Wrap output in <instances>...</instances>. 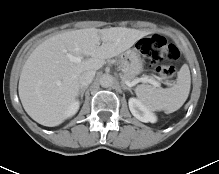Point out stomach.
Returning <instances> with one entry per match:
<instances>
[{
  "label": "stomach",
  "instance_id": "stomach-1",
  "mask_svg": "<svg viewBox=\"0 0 219 174\" xmlns=\"http://www.w3.org/2000/svg\"><path fill=\"white\" fill-rule=\"evenodd\" d=\"M121 71L124 77L133 79L143 71V60L138 48L127 50L120 59Z\"/></svg>",
  "mask_w": 219,
  "mask_h": 174
}]
</instances>
